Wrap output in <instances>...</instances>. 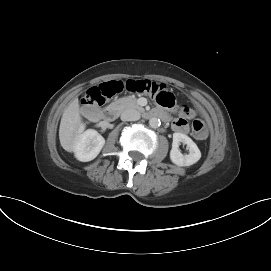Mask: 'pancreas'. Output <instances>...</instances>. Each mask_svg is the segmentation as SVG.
Wrapping results in <instances>:
<instances>
[{"label":"pancreas","mask_w":271,"mask_h":271,"mask_svg":"<svg viewBox=\"0 0 271 271\" xmlns=\"http://www.w3.org/2000/svg\"><path fill=\"white\" fill-rule=\"evenodd\" d=\"M111 107L118 110L119 112L125 111L127 109H137L141 112L144 111V109L138 105L137 99L130 96L119 98L117 101L111 104Z\"/></svg>","instance_id":"pancreas-1"}]
</instances>
